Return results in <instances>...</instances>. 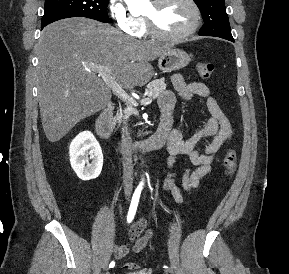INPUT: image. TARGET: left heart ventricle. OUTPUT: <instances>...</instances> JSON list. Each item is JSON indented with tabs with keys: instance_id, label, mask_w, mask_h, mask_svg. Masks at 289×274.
I'll list each match as a JSON object with an SVG mask.
<instances>
[{
	"instance_id": "left-heart-ventricle-1",
	"label": "left heart ventricle",
	"mask_w": 289,
	"mask_h": 274,
	"mask_svg": "<svg viewBox=\"0 0 289 274\" xmlns=\"http://www.w3.org/2000/svg\"><path fill=\"white\" fill-rule=\"evenodd\" d=\"M145 14L153 16L159 29L169 34L181 33L193 22V10L186 0H169L158 9L151 3Z\"/></svg>"
}]
</instances>
